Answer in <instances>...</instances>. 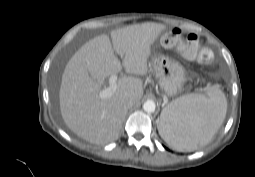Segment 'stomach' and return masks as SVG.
I'll return each mask as SVG.
<instances>
[{
    "instance_id": "0dacf381",
    "label": "stomach",
    "mask_w": 255,
    "mask_h": 177,
    "mask_svg": "<svg viewBox=\"0 0 255 177\" xmlns=\"http://www.w3.org/2000/svg\"><path fill=\"white\" fill-rule=\"evenodd\" d=\"M168 37L169 34H165L161 39L163 41ZM151 64L159 85L167 96L173 97L182 91L185 83V70L179 62L158 54L152 57Z\"/></svg>"
}]
</instances>
